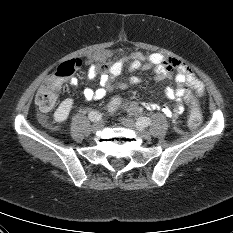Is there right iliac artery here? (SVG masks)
I'll list each match as a JSON object with an SVG mask.
<instances>
[{
  "label": "right iliac artery",
  "instance_id": "right-iliac-artery-1",
  "mask_svg": "<svg viewBox=\"0 0 233 233\" xmlns=\"http://www.w3.org/2000/svg\"><path fill=\"white\" fill-rule=\"evenodd\" d=\"M88 117L91 121L99 120L101 119V115H99L96 111H91L88 114Z\"/></svg>",
  "mask_w": 233,
  "mask_h": 233
}]
</instances>
